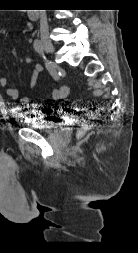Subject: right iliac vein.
I'll return each instance as SVG.
<instances>
[{"mask_svg":"<svg viewBox=\"0 0 138 253\" xmlns=\"http://www.w3.org/2000/svg\"><path fill=\"white\" fill-rule=\"evenodd\" d=\"M42 44H43L44 49L47 52L54 53V51H55L54 45L48 37L42 38Z\"/></svg>","mask_w":138,"mask_h":253,"instance_id":"obj_1","label":"right iliac vein"}]
</instances>
